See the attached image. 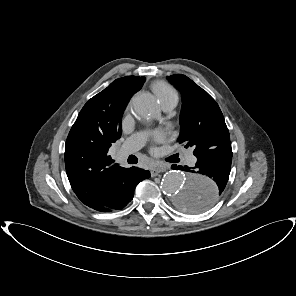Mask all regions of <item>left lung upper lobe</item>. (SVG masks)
Listing matches in <instances>:
<instances>
[{"label":"left lung upper lobe","instance_id":"5c2ea615","mask_svg":"<svg viewBox=\"0 0 296 296\" xmlns=\"http://www.w3.org/2000/svg\"><path fill=\"white\" fill-rule=\"evenodd\" d=\"M167 79L182 95L178 142L186 148L194 147L193 153L197 158L208 152H217L221 146L230 144L229 131L215 100L185 75L167 76ZM189 199L192 197L183 204L182 209L185 211H188L186 203Z\"/></svg>","mask_w":296,"mask_h":296}]
</instances>
